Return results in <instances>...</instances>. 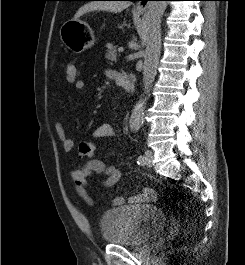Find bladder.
<instances>
[{
	"label": "bladder",
	"mask_w": 245,
	"mask_h": 265,
	"mask_svg": "<svg viewBox=\"0 0 245 265\" xmlns=\"http://www.w3.org/2000/svg\"><path fill=\"white\" fill-rule=\"evenodd\" d=\"M166 222V214L157 206L134 204L105 211L99 228L108 244L140 247L153 240Z\"/></svg>",
	"instance_id": "obj_1"
}]
</instances>
